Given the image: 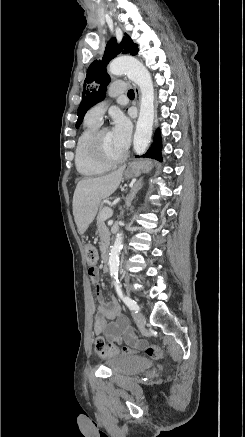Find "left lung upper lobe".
Returning a JSON list of instances; mask_svg holds the SVG:
<instances>
[{
	"label": "left lung upper lobe",
	"mask_w": 245,
	"mask_h": 437,
	"mask_svg": "<svg viewBox=\"0 0 245 437\" xmlns=\"http://www.w3.org/2000/svg\"><path fill=\"white\" fill-rule=\"evenodd\" d=\"M121 53H129L136 55L138 53V46L133 43L132 39L125 34L122 42L118 45L116 39H111L105 48L102 61L95 60L87 70V76L84 83V90L82 93V101L78 108V120L76 128L80 126L87 110L102 101L105 97L106 86L110 82V77L106 72V64ZM90 84L95 87H90Z\"/></svg>",
	"instance_id": "left-lung-upper-lobe-1"
}]
</instances>
